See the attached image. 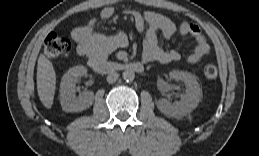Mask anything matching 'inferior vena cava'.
<instances>
[{"label": "inferior vena cava", "mask_w": 259, "mask_h": 156, "mask_svg": "<svg viewBox=\"0 0 259 156\" xmlns=\"http://www.w3.org/2000/svg\"><path fill=\"white\" fill-rule=\"evenodd\" d=\"M119 78V74L117 72H111L107 76L108 83H114Z\"/></svg>", "instance_id": "obj_1"}]
</instances>
